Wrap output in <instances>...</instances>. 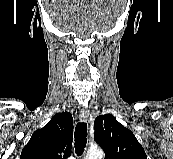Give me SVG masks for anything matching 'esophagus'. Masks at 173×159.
Returning <instances> with one entry per match:
<instances>
[{
	"mask_svg": "<svg viewBox=\"0 0 173 159\" xmlns=\"http://www.w3.org/2000/svg\"><path fill=\"white\" fill-rule=\"evenodd\" d=\"M89 118V112L86 109H81L79 119L82 122H87Z\"/></svg>",
	"mask_w": 173,
	"mask_h": 159,
	"instance_id": "obj_1",
	"label": "esophagus"
}]
</instances>
